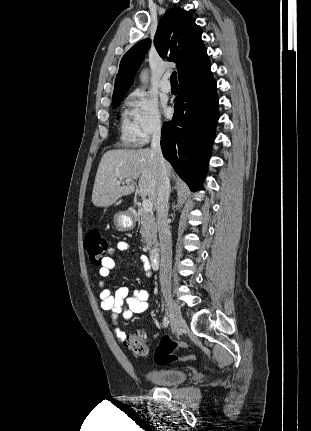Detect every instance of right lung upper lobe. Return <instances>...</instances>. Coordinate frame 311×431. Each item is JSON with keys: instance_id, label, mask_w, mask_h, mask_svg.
<instances>
[{"instance_id": "obj_1", "label": "right lung upper lobe", "mask_w": 311, "mask_h": 431, "mask_svg": "<svg viewBox=\"0 0 311 431\" xmlns=\"http://www.w3.org/2000/svg\"><path fill=\"white\" fill-rule=\"evenodd\" d=\"M201 35L202 29L195 24V18L181 8L169 9L159 21L154 44L160 57L176 63L179 82L210 64ZM149 47L150 40L144 39L122 57L113 98L126 94Z\"/></svg>"}]
</instances>
